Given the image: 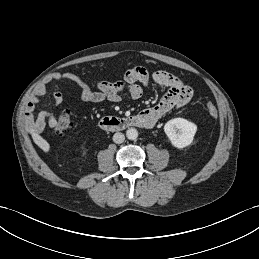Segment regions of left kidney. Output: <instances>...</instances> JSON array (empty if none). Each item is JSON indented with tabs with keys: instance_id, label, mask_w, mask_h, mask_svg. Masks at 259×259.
Wrapping results in <instances>:
<instances>
[{
	"instance_id": "5707ae66",
	"label": "left kidney",
	"mask_w": 259,
	"mask_h": 259,
	"mask_svg": "<svg viewBox=\"0 0 259 259\" xmlns=\"http://www.w3.org/2000/svg\"><path fill=\"white\" fill-rule=\"evenodd\" d=\"M164 131L174 147L183 149L193 142L197 126L184 118H174L165 124Z\"/></svg>"
}]
</instances>
